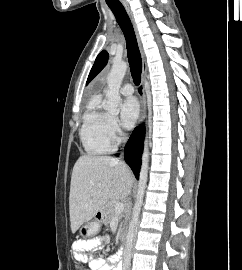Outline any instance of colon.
I'll list each match as a JSON object with an SVG mask.
<instances>
[{
  "mask_svg": "<svg viewBox=\"0 0 242 270\" xmlns=\"http://www.w3.org/2000/svg\"><path fill=\"white\" fill-rule=\"evenodd\" d=\"M76 270H88L87 268H85V267H83V266H79V267H77V269Z\"/></svg>",
  "mask_w": 242,
  "mask_h": 270,
  "instance_id": "colon-1",
  "label": "colon"
}]
</instances>
